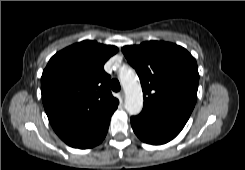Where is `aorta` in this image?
<instances>
[{
  "label": "aorta",
  "mask_w": 245,
  "mask_h": 170,
  "mask_svg": "<svg viewBox=\"0 0 245 170\" xmlns=\"http://www.w3.org/2000/svg\"><path fill=\"white\" fill-rule=\"evenodd\" d=\"M125 91V109L130 115H137L143 108V94L138 78L132 69H125L119 75Z\"/></svg>",
  "instance_id": "1"
}]
</instances>
